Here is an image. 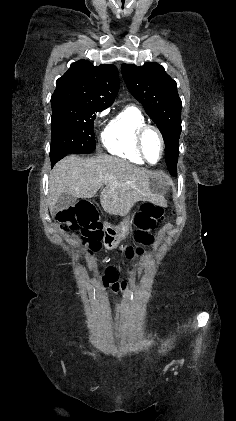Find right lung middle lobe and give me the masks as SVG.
<instances>
[{
    "label": "right lung middle lobe",
    "instance_id": "obj_1",
    "mask_svg": "<svg viewBox=\"0 0 236 421\" xmlns=\"http://www.w3.org/2000/svg\"><path fill=\"white\" fill-rule=\"evenodd\" d=\"M51 150L52 163L70 153H91L96 148L93 132L96 112L106 106L86 101L60 98L51 99Z\"/></svg>",
    "mask_w": 236,
    "mask_h": 421
}]
</instances>
